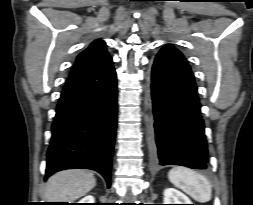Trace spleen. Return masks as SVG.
Here are the masks:
<instances>
[{"mask_svg":"<svg viewBox=\"0 0 253 205\" xmlns=\"http://www.w3.org/2000/svg\"><path fill=\"white\" fill-rule=\"evenodd\" d=\"M169 180L182 189L194 200L205 203L211 200L212 186L209 180L196 171L183 166L172 168L168 173Z\"/></svg>","mask_w":253,"mask_h":205,"instance_id":"1","label":"spleen"}]
</instances>
